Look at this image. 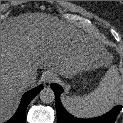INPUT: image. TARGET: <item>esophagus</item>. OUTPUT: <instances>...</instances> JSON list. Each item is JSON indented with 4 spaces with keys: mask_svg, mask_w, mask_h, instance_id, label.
<instances>
[{
    "mask_svg": "<svg viewBox=\"0 0 123 123\" xmlns=\"http://www.w3.org/2000/svg\"><path fill=\"white\" fill-rule=\"evenodd\" d=\"M55 80H56V76L53 73H51V72H47L44 75V81L47 84H50V83L54 82Z\"/></svg>",
    "mask_w": 123,
    "mask_h": 123,
    "instance_id": "esophagus-1",
    "label": "esophagus"
}]
</instances>
